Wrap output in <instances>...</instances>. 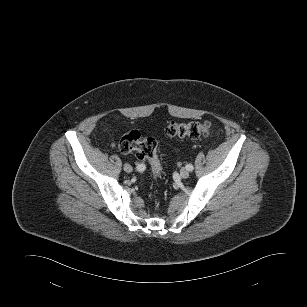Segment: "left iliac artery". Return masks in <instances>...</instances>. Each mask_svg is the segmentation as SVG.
<instances>
[{
    "instance_id": "1",
    "label": "left iliac artery",
    "mask_w": 307,
    "mask_h": 307,
    "mask_svg": "<svg viewBox=\"0 0 307 307\" xmlns=\"http://www.w3.org/2000/svg\"><path fill=\"white\" fill-rule=\"evenodd\" d=\"M186 168L189 170V171H192L194 169L193 165L192 164H187L186 165Z\"/></svg>"
}]
</instances>
